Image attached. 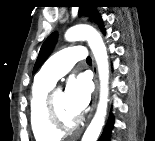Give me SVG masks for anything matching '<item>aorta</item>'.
<instances>
[{"label": "aorta", "instance_id": "obj_1", "mask_svg": "<svg viewBox=\"0 0 155 141\" xmlns=\"http://www.w3.org/2000/svg\"><path fill=\"white\" fill-rule=\"evenodd\" d=\"M65 39L67 41L86 40L93 52L98 66L100 79V100L95 116L93 117L81 140L97 141L104 125L109 93V64L106 46L101 35L89 25H76L71 27L66 31Z\"/></svg>", "mask_w": 155, "mask_h": 141}]
</instances>
